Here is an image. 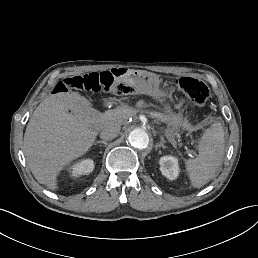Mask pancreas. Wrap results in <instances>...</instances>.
<instances>
[{
    "label": "pancreas",
    "instance_id": "obj_1",
    "mask_svg": "<svg viewBox=\"0 0 258 258\" xmlns=\"http://www.w3.org/2000/svg\"><path fill=\"white\" fill-rule=\"evenodd\" d=\"M144 114H145L146 117H148V118L150 117L152 119H155V120L161 122L164 125L166 124V125L169 126L173 122L171 118H169V117L167 118L161 113H158V112L153 111V110L151 111L149 109L145 111V109L142 108V107L138 108L137 110H135V109L134 110L133 109H129V110H127V109L122 110L121 109L120 110L119 109V110L116 111V113H114L113 111H110L107 114L108 118H105V117H102V118H103V120H107V121L114 122V123L117 124V123L120 122V120L123 121V122L126 121L128 117L129 118H133V117L135 118L138 115L142 116ZM176 128L177 127L174 126L172 128L168 127L166 129V137L169 141L174 140V132H175Z\"/></svg>",
    "mask_w": 258,
    "mask_h": 258
}]
</instances>
